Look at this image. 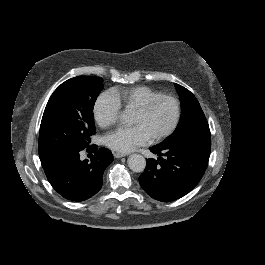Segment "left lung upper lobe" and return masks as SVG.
Instances as JSON below:
<instances>
[{"mask_svg": "<svg viewBox=\"0 0 265 265\" xmlns=\"http://www.w3.org/2000/svg\"><path fill=\"white\" fill-rule=\"evenodd\" d=\"M181 102V118L176 130L158 145H166L194 135H210L205 115L196 97L183 86L175 83Z\"/></svg>", "mask_w": 265, "mask_h": 265, "instance_id": "1", "label": "left lung upper lobe"}]
</instances>
